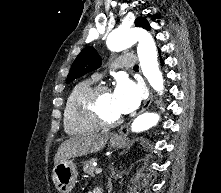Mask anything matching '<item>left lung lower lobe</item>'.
<instances>
[{
  "label": "left lung lower lobe",
  "mask_w": 221,
  "mask_h": 193,
  "mask_svg": "<svg viewBox=\"0 0 221 193\" xmlns=\"http://www.w3.org/2000/svg\"><path fill=\"white\" fill-rule=\"evenodd\" d=\"M164 64V61L163 60H161V65H163Z\"/></svg>",
  "instance_id": "1"
}]
</instances>
